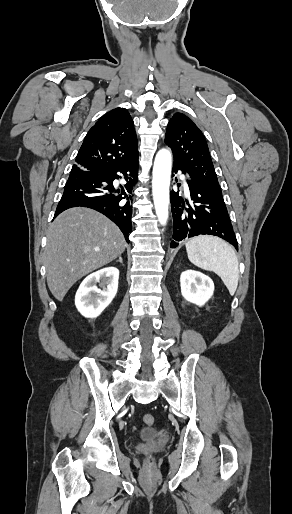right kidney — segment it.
I'll use <instances>...</instances> for the list:
<instances>
[{
	"label": "right kidney",
	"instance_id": "obj_1",
	"mask_svg": "<svg viewBox=\"0 0 292 514\" xmlns=\"http://www.w3.org/2000/svg\"><path fill=\"white\" fill-rule=\"evenodd\" d=\"M119 270L103 268L87 276L75 296V306L85 318H97L117 294ZM99 284L100 288H97Z\"/></svg>",
	"mask_w": 292,
	"mask_h": 514
}]
</instances>
